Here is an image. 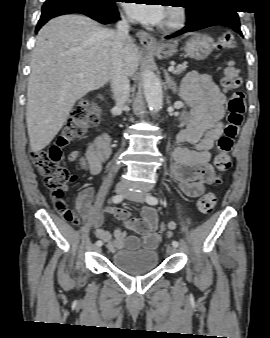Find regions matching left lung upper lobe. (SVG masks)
Instances as JSON below:
<instances>
[{"label":"left lung upper lobe","instance_id":"1","mask_svg":"<svg viewBox=\"0 0 270 338\" xmlns=\"http://www.w3.org/2000/svg\"><path fill=\"white\" fill-rule=\"evenodd\" d=\"M229 0H187L188 23H193L202 16L219 10L227 5Z\"/></svg>","mask_w":270,"mask_h":338}]
</instances>
